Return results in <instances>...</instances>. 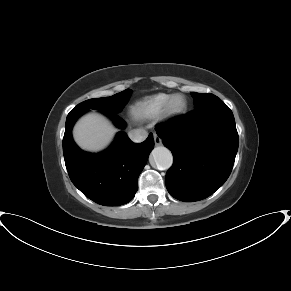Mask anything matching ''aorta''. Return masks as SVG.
<instances>
[{"mask_svg":"<svg viewBox=\"0 0 291 291\" xmlns=\"http://www.w3.org/2000/svg\"><path fill=\"white\" fill-rule=\"evenodd\" d=\"M153 162L159 170H167L173 164V156L169 149L164 146L155 147L152 150Z\"/></svg>","mask_w":291,"mask_h":291,"instance_id":"1","label":"aorta"}]
</instances>
